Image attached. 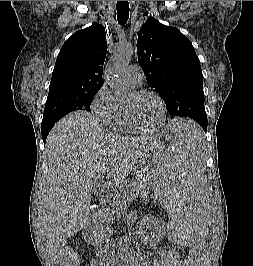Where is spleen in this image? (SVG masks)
<instances>
[{"label": "spleen", "mask_w": 253, "mask_h": 266, "mask_svg": "<svg viewBox=\"0 0 253 266\" xmlns=\"http://www.w3.org/2000/svg\"><path fill=\"white\" fill-rule=\"evenodd\" d=\"M168 153L156 161L158 176L152 177L151 193L159 199L166 220L167 248H203L215 207H207L205 156L208 136L189 117H172L168 125Z\"/></svg>", "instance_id": "spleen-1"}]
</instances>
